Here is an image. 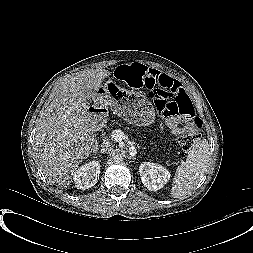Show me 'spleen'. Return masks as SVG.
Instances as JSON below:
<instances>
[{"label": "spleen", "mask_w": 253, "mask_h": 253, "mask_svg": "<svg viewBox=\"0 0 253 253\" xmlns=\"http://www.w3.org/2000/svg\"><path fill=\"white\" fill-rule=\"evenodd\" d=\"M209 162V144L206 139L200 140L190 150L187 159L177 167L171 197L186 196L200 181Z\"/></svg>", "instance_id": "3e777b00"}]
</instances>
